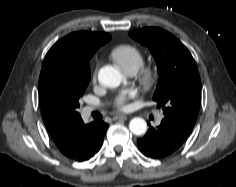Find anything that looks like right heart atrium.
<instances>
[{
	"instance_id": "d8ad5b80",
	"label": "right heart atrium",
	"mask_w": 236,
	"mask_h": 187,
	"mask_svg": "<svg viewBox=\"0 0 236 187\" xmlns=\"http://www.w3.org/2000/svg\"><path fill=\"white\" fill-rule=\"evenodd\" d=\"M97 79V68L93 71V74H92V81L95 82Z\"/></svg>"
}]
</instances>
